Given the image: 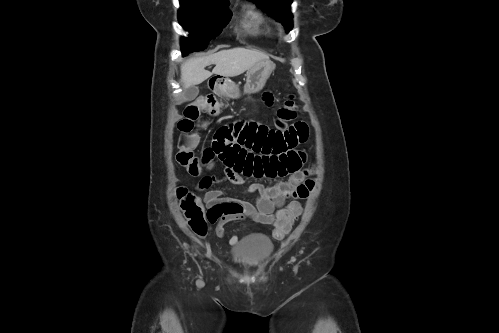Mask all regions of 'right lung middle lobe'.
<instances>
[{
    "label": "right lung middle lobe",
    "mask_w": 499,
    "mask_h": 333,
    "mask_svg": "<svg viewBox=\"0 0 499 333\" xmlns=\"http://www.w3.org/2000/svg\"><path fill=\"white\" fill-rule=\"evenodd\" d=\"M180 25L190 33L182 38L183 55L204 50L209 40L218 36L228 24L231 12L228 0H179Z\"/></svg>",
    "instance_id": "1"
}]
</instances>
